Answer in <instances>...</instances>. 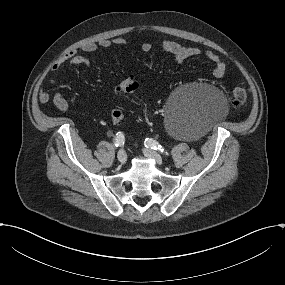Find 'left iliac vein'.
<instances>
[{"mask_svg": "<svg viewBox=\"0 0 285 285\" xmlns=\"http://www.w3.org/2000/svg\"><path fill=\"white\" fill-rule=\"evenodd\" d=\"M143 152H144L145 156L153 159L156 162V164H158L159 166L164 165V161H163L162 157L157 152H155L153 150H149V149H145Z\"/></svg>", "mask_w": 285, "mask_h": 285, "instance_id": "left-iliac-vein-1", "label": "left iliac vein"}]
</instances>
